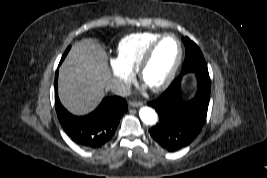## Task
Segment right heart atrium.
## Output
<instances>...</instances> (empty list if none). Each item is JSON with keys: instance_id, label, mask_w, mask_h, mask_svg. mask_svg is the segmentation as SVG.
<instances>
[{"instance_id": "right-heart-atrium-1", "label": "right heart atrium", "mask_w": 267, "mask_h": 178, "mask_svg": "<svg viewBox=\"0 0 267 178\" xmlns=\"http://www.w3.org/2000/svg\"><path fill=\"white\" fill-rule=\"evenodd\" d=\"M109 64L115 80V90L118 94H124L133 82L134 73L121 65L117 59H110Z\"/></svg>"}]
</instances>
